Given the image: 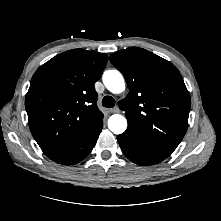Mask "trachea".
Segmentation results:
<instances>
[{
    "mask_svg": "<svg viewBox=\"0 0 221 221\" xmlns=\"http://www.w3.org/2000/svg\"><path fill=\"white\" fill-rule=\"evenodd\" d=\"M115 105V100L111 96H105L102 100V106L106 108H112Z\"/></svg>",
    "mask_w": 221,
    "mask_h": 221,
    "instance_id": "1",
    "label": "trachea"
}]
</instances>
